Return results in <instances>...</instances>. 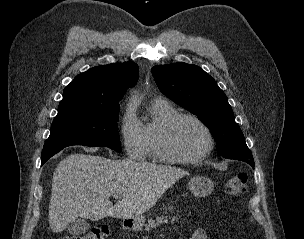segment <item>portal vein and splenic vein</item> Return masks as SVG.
Segmentation results:
<instances>
[{
    "label": "portal vein and splenic vein",
    "instance_id": "1",
    "mask_svg": "<svg viewBox=\"0 0 304 239\" xmlns=\"http://www.w3.org/2000/svg\"><path fill=\"white\" fill-rule=\"evenodd\" d=\"M113 197H114L115 199H121V194H114Z\"/></svg>",
    "mask_w": 304,
    "mask_h": 239
}]
</instances>
